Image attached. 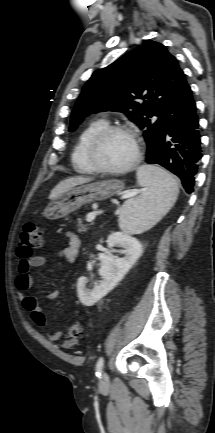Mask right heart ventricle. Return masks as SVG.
<instances>
[{
	"label": "right heart ventricle",
	"instance_id": "right-heart-ventricle-1",
	"mask_svg": "<svg viewBox=\"0 0 215 433\" xmlns=\"http://www.w3.org/2000/svg\"><path fill=\"white\" fill-rule=\"evenodd\" d=\"M106 126L105 119H96L91 121L80 133L71 155L72 165L77 172H95L87 159V147L91 139Z\"/></svg>",
	"mask_w": 215,
	"mask_h": 433
}]
</instances>
